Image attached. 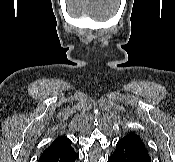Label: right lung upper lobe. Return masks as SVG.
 <instances>
[{
  "instance_id": "1",
  "label": "right lung upper lobe",
  "mask_w": 175,
  "mask_h": 162,
  "mask_svg": "<svg viewBox=\"0 0 175 162\" xmlns=\"http://www.w3.org/2000/svg\"><path fill=\"white\" fill-rule=\"evenodd\" d=\"M71 147V141L67 137H59L53 141V143L45 149L44 152L65 149Z\"/></svg>"
}]
</instances>
